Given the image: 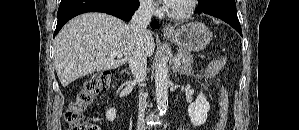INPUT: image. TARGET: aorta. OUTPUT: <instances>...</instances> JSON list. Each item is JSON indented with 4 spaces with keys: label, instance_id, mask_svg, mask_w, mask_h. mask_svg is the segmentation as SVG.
<instances>
[{
    "label": "aorta",
    "instance_id": "aorta-1",
    "mask_svg": "<svg viewBox=\"0 0 299 130\" xmlns=\"http://www.w3.org/2000/svg\"><path fill=\"white\" fill-rule=\"evenodd\" d=\"M168 65L167 59L162 57L156 64L155 68V87L157 108L161 114L166 112L168 106Z\"/></svg>",
    "mask_w": 299,
    "mask_h": 130
}]
</instances>
